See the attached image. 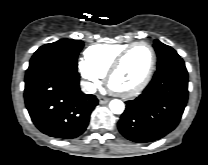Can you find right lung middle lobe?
Masks as SVG:
<instances>
[{"mask_svg":"<svg viewBox=\"0 0 208 165\" xmlns=\"http://www.w3.org/2000/svg\"><path fill=\"white\" fill-rule=\"evenodd\" d=\"M83 46L82 41L73 39H60L54 43L45 44L34 53L28 69L52 60L65 61L77 67V56Z\"/></svg>","mask_w":208,"mask_h":165,"instance_id":"right-lung-middle-lobe-1","label":"right lung middle lobe"}]
</instances>
